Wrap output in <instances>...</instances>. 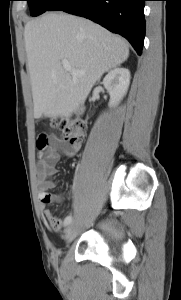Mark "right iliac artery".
Segmentation results:
<instances>
[{
	"label": "right iliac artery",
	"instance_id": "1",
	"mask_svg": "<svg viewBox=\"0 0 181 300\" xmlns=\"http://www.w3.org/2000/svg\"><path fill=\"white\" fill-rule=\"evenodd\" d=\"M72 221V216H67L64 220V225L67 226L71 223Z\"/></svg>",
	"mask_w": 181,
	"mask_h": 300
}]
</instances>
